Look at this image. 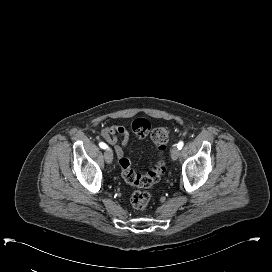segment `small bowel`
<instances>
[{
  "instance_id": "obj_1",
  "label": "small bowel",
  "mask_w": 272,
  "mask_h": 272,
  "mask_svg": "<svg viewBox=\"0 0 272 272\" xmlns=\"http://www.w3.org/2000/svg\"><path fill=\"white\" fill-rule=\"evenodd\" d=\"M101 137L115 147L118 158L124 156L125 148L130 140V133L123 125H112L101 130Z\"/></svg>"
}]
</instances>
